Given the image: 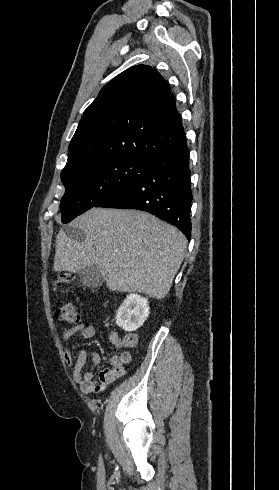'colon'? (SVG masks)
Returning <instances> with one entry per match:
<instances>
[{
	"label": "colon",
	"mask_w": 279,
	"mask_h": 490,
	"mask_svg": "<svg viewBox=\"0 0 279 490\" xmlns=\"http://www.w3.org/2000/svg\"><path fill=\"white\" fill-rule=\"evenodd\" d=\"M73 281V277L69 273H61L54 282V288H58L63 284H67ZM56 319L65 322L69 325H74L77 322L78 314L76 308L72 304H62L57 306L55 310ZM110 337L116 336L115 330L109 331ZM113 341H118L119 347H133L136 344V336L134 334H128L125 337L119 339L114 338Z\"/></svg>",
	"instance_id": "5ec220e1"
}]
</instances>
